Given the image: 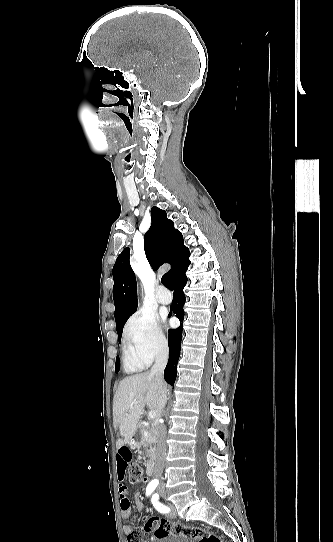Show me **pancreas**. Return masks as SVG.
<instances>
[{
    "mask_svg": "<svg viewBox=\"0 0 333 542\" xmlns=\"http://www.w3.org/2000/svg\"><path fill=\"white\" fill-rule=\"evenodd\" d=\"M145 444L143 446V450L145 452L146 458H150V460H154L156 456V430L155 426H151V428H146L145 430Z\"/></svg>",
    "mask_w": 333,
    "mask_h": 542,
    "instance_id": "obj_1",
    "label": "pancreas"
}]
</instances>
